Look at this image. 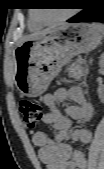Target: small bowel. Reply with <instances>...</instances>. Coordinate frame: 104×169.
<instances>
[{
	"instance_id": "c3829d8e",
	"label": "small bowel",
	"mask_w": 104,
	"mask_h": 169,
	"mask_svg": "<svg viewBox=\"0 0 104 169\" xmlns=\"http://www.w3.org/2000/svg\"><path fill=\"white\" fill-rule=\"evenodd\" d=\"M73 103L63 110L60 104L66 101ZM48 112L43 115L42 122L57 131L54 138H50L44 131L35 132L32 136L34 145L38 148V156L46 169H85L87 159L83 151L73 150L65 142L70 133L71 120L88 122L94 115V108L89 103L83 90L74 86L68 89L60 88L43 97ZM92 133L85 127L71 131L70 138L76 143H89Z\"/></svg>"
}]
</instances>
